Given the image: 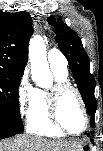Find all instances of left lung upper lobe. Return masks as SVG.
<instances>
[{
    "instance_id": "left-lung-upper-lobe-1",
    "label": "left lung upper lobe",
    "mask_w": 103,
    "mask_h": 151,
    "mask_svg": "<svg viewBox=\"0 0 103 151\" xmlns=\"http://www.w3.org/2000/svg\"><path fill=\"white\" fill-rule=\"evenodd\" d=\"M47 21L50 25L55 26L54 33L58 47L68 60L88 115L94 116L96 111V99L94 97L96 82L90 73L89 57L83 48L81 39L60 18L55 19L51 16Z\"/></svg>"
}]
</instances>
